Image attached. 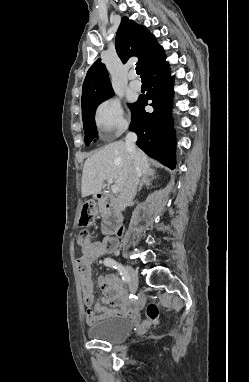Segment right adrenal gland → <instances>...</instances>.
<instances>
[{"label": "right adrenal gland", "instance_id": "obj_1", "mask_svg": "<svg viewBox=\"0 0 249 382\" xmlns=\"http://www.w3.org/2000/svg\"><path fill=\"white\" fill-rule=\"evenodd\" d=\"M155 178H156V176H155V172H154V170H151L149 173L144 174V175L142 176V178H141L140 183H139L138 192L141 190V188H142V186H143L144 183L147 184V185H150V184H151L150 182H151L153 179H155Z\"/></svg>", "mask_w": 249, "mask_h": 382}]
</instances>
